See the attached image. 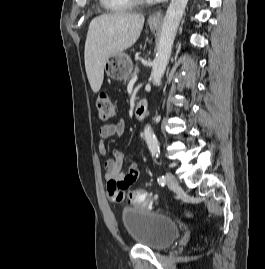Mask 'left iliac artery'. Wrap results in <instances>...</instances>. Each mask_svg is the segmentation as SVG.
<instances>
[{
  "label": "left iliac artery",
  "mask_w": 265,
  "mask_h": 269,
  "mask_svg": "<svg viewBox=\"0 0 265 269\" xmlns=\"http://www.w3.org/2000/svg\"><path fill=\"white\" fill-rule=\"evenodd\" d=\"M158 183L161 185V186H164L165 183H166V179L164 176H159V178L157 179Z\"/></svg>",
  "instance_id": "left-iliac-artery-1"
}]
</instances>
